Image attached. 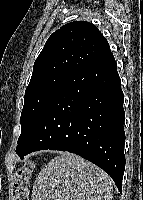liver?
Instances as JSON below:
<instances>
[{
	"label": "liver",
	"instance_id": "liver-1",
	"mask_svg": "<svg viewBox=\"0 0 143 200\" xmlns=\"http://www.w3.org/2000/svg\"><path fill=\"white\" fill-rule=\"evenodd\" d=\"M107 173L82 157L62 152L39 172L31 200H111Z\"/></svg>",
	"mask_w": 143,
	"mask_h": 200
}]
</instances>
